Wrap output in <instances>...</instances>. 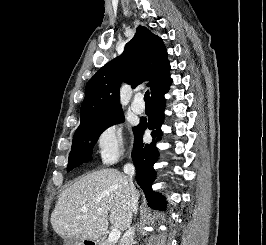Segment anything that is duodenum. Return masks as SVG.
<instances>
[{
  "mask_svg": "<svg viewBox=\"0 0 266 245\" xmlns=\"http://www.w3.org/2000/svg\"><path fill=\"white\" fill-rule=\"evenodd\" d=\"M81 242H87V245H98L96 237H81Z\"/></svg>",
  "mask_w": 266,
  "mask_h": 245,
  "instance_id": "1",
  "label": "duodenum"
}]
</instances>
